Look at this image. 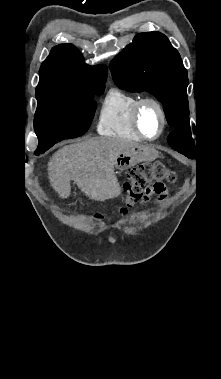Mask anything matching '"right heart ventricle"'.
<instances>
[{
	"instance_id": "right-heart-ventricle-1",
	"label": "right heart ventricle",
	"mask_w": 221,
	"mask_h": 379,
	"mask_svg": "<svg viewBox=\"0 0 221 379\" xmlns=\"http://www.w3.org/2000/svg\"><path fill=\"white\" fill-rule=\"evenodd\" d=\"M141 97L124 90L111 89L101 106L97 131L105 136L141 140L132 125V111Z\"/></svg>"
}]
</instances>
